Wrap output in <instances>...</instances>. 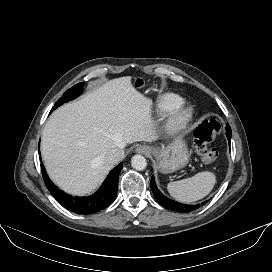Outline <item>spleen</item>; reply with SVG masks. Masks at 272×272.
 Returning <instances> with one entry per match:
<instances>
[{
	"label": "spleen",
	"mask_w": 272,
	"mask_h": 272,
	"mask_svg": "<svg viewBox=\"0 0 272 272\" xmlns=\"http://www.w3.org/2000/svg\"><path fill=\"white\" fill-rule=\"evenodd\" d=\"M216 183L212 172H199L196 175L167 185L170 195L179 202L191 203L207 196Z\"/></svg>",
	"instance_id": "1"
}]
</instances>
